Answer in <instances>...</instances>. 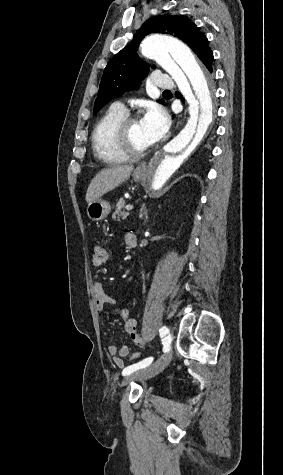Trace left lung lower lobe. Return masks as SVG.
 I'll use <instances>...</instances> for the list:
<instances>
[{"mask_svg": "<svg viewBox=\"0 0 283 475\" xmlns=\"http://www.w3.org/2000/svg\"><path fill=\"white\" fill-rule=\"evenodd\" d=\"M207 54H208V55H207V58H206V60H205L203 63H204V65L206 66V68H207L210 72H212V71H213V69H212V62H213V60H214L213 53H212V51L210 50Z\"/></svg>", "mask_w": 283, "mask_h": 475, "instance_id": "left-lung-lower-lobe-1", "label": "left lung lower lobe"}]
</instances>
